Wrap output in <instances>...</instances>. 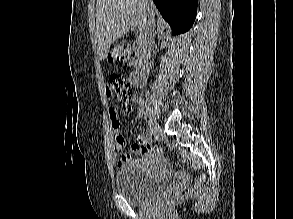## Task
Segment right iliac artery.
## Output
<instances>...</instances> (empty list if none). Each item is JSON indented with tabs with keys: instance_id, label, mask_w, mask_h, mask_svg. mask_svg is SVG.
Returning <instances> with one entry per match:
<instances>
[{
	"instance_id": "right-iliac-artery-1",
	"label": "right iliac artery",
	"mask_w": 293,
	"mask_h": 219,
	"mask_svg": "<svg viewBox=\"0 0 293 219\" xmlns=\"http://www.w3.org/2000/svg\"><path fill=\"white\" fill-rule=\"evenodd\" d=\"M146 134H147V135H149V134H150V132H149V130H148V129H147V131H146Z\"/></svg>"
}]
</instances>
